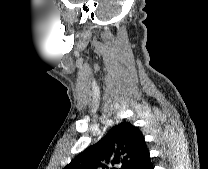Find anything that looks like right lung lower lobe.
<instances>
[{"label": "right lung lower lobe", "mask_w": 208, "mask_h": 169, "mask_svg": "<svg viewBox=\"0 0 208 169\" xmlns=\"http://www.w3.org/2000/svg\"><path fill=\"white\" fill-rule=\"evenodd\" d=\"M141 169H154L151 163V159L149 158L146 163L141 167Z\"/></svg>", "instance_id": "1"}]
</instances>
